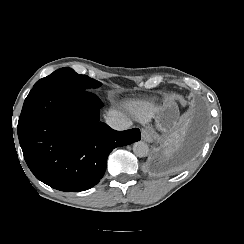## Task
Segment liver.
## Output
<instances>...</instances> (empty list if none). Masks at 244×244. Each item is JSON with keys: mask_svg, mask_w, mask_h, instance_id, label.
Listing matches in <instances>:
<instances>
[{"mask_svg": "<svg viewBox=\"0 0 244 244\" xmlns=\"http://www.w3.org/2000/svg\"><path fill=\"white\" fill-rule=\"evenodd\" d=\"M129 110L137 122L146 124L155 116L157 108L148 101L134 100L130 102ZM107 115L125 118L122 112L112 108L107 112Z\"/></svg>", "mask_w": 244, "mask_h": 244, "instance_id": "obj_1", "label": "liver"}]
</instances>
